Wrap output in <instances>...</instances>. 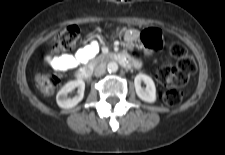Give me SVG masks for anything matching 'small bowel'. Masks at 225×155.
Returning a JSON list of instances; mask_svg holds the SVG:
<instances>
[{
	"label": "small bowel",
	"instance_id": "1",
	"mask_svg": "<svg viewBox=\"0 0 225 155\" xmlns=\"http://www.w3.org/2000/svg\"><path fill=\"white\" fill-rule=\"evenodd\" d=\"M139 34L137 31H130L126 34V41L130 48L134 47L138 41ZM99 51L97 41H92L90 44L78 49L75 54H63L56 57L47 58L48 64L59 70H67L76 67L79 64L85 63L94 57Z\"/></svg>",
	"mask_w": 225,
	"mask_h": 155
}]
</instances>
